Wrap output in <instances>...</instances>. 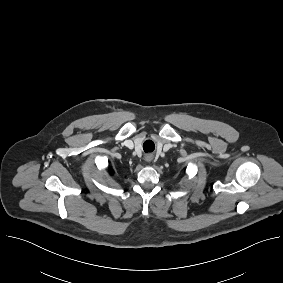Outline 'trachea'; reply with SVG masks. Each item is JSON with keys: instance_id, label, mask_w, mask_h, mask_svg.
<instances>
[{"instance_id": "trachea-1", "label": "trachea", "mask_w": 283, "mask_h": 283, "mask_svg": "<svg viewBox=\"0 0 283 283\" xmlns=\"http://www.w3.org/2000/svg\"><path fill=\"white\" fill-rule=\"evenodd\" d=\"M154 143L151 140H147L144 142L143 144V149L144 151L148 152V151H153L154 150Z\"/></svg>"}]
</instances>
